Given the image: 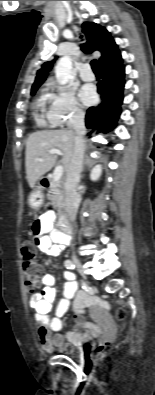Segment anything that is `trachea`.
<instances>
[{"label":"trachea","instance_id":"obj_1","mask_svg":"<svg viewBox=\"0 0 155 395\" xmlns=\"http://www.w3.org/2000/svg\"><path fill=\"white\" fill-rule=\"evenodd\" d=\"M91 67H92V69H93V71L95 73H99L100 72L97 60H92L91 61Z\"/></svg>","mask_w":155,"mask_h":395}]
</instances>
